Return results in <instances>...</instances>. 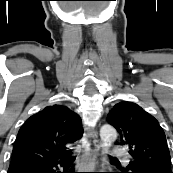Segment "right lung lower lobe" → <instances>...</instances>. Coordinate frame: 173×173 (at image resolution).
<instances>
[{
	"label": "right lung lower lobe",
	"mask_w": 173,
	"mask_h": 173,
	"mask_svg": "<svg viewBox=\"0 0 173 173\" xmlns=\"http://www.w3.org/2000/svg\"><path fill=\"white\" fill-rule=\"evenodd\" d=\"M67 159L68 157L60 159V160L52 161V162L14 167V168L8 169L7 173H60V172H56L54 170V167L58 169L57 165L64 166ZM66 173H75L74 168L72 167Z\"/></svg>",
	"instance_id": "obj_1"
}]
</instances>
